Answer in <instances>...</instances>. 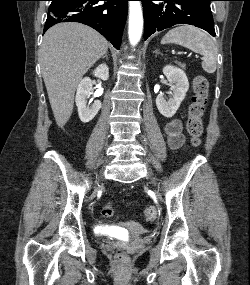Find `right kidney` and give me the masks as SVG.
Masks as SVG:
<instances>
[{"label":"right kidney","instance_id":"1","mask_svg":"<svg viewBox=\"0 0 250 285\" xmlns=\"http://www.w3.org/2000/svg\"><path fill=\"white\" fill-rule=\"evenodd\" d=\"M94 76L106 81L109 78V69L106 64H100L93 72ZM92 94V81L89 77L82 79L77 87L76 105L79 118L83 123L91 121L101 108L99 100L94 101L91 107L87 106V98Z\"/></svg>","mask_w":250,"mask_h":285}]
</instances>
